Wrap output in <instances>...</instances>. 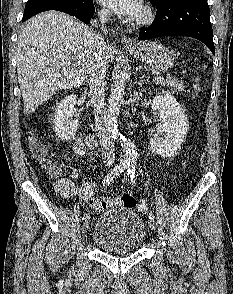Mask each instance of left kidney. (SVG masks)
Listing matches in <instances>:
<instances>
[{
	"mask_svg": "<svg viewBox=\"0 0 233 294\" xmlns=\"http://www.w3.org/2000/svg\"><path fill=\"white\" fill-rule=\"evenodd\" d=\"M151 107L158 110L163 123L156 125L158 133L164 134L159 138L157 134L150 138L152 150L162 157H172L177 154L186 135L189 123L179 103L169 93L157 94L153 97Z\"/></svg>",
	"mask_w": 233,
	"mask_h": 294,
	"instance_id": "obj_1",
	"label": "left kidney"
}]
</instances>
